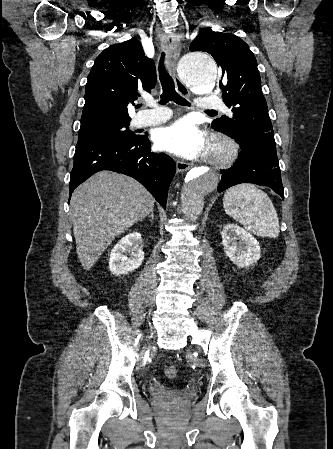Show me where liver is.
<instances>
[{"mask_svg":"<svg viewBox=\"0 0 333 449\" xmlns=\"http://www.w3.org/2000/svg\"><path fill=\"white\" fill-rule=\"evenodd\" d=\"M154 198L135 179L110 171L91 176L72 193L76 251L89 270L111 242L153 212Z\"/></svg>","mask_w":333,"mask_h":449,"instance_id":"1","label":"liver"}]
</instances>
